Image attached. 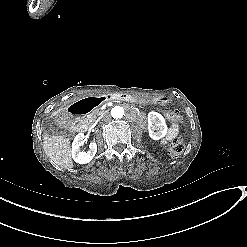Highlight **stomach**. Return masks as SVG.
Instances as JSON below:
<instances>
[{
    "label": "stomach",
    "instance_id": "obj_1",
    "mask_svg": "<svg viewBox=\"0 0 247 247\" xmlns=\"http://www.w3.org/2000/svg\"><path fill=\"white\" fill-rule=\"evenodd\" d=\"M152 104H161V105H168L172 103V100L170 98L162 97V98H156L151 101Z\"/></svg>",
    "mask_w": 247,
    "mask_h": 247
}]
</instances>
